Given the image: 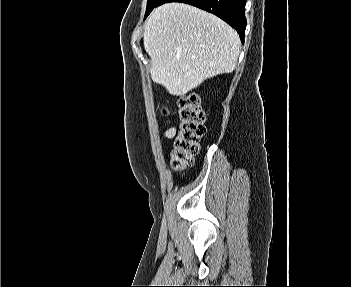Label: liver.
I'll return each instance as SVG.
<instances>
[{"mask_svg":"<svg viewBox=\"0 0 351 287\" xmlns=\"http://www.w3.org/2000/svg\"><path fill=\"white\" fill-rule=\"evenodd\" d=\"M150 74L175 96L204 80L232 72L240 54L238 33L211 13L183 3L155 8L144 26Z\"/></svg>","mask_w":351,"mask_h":287,"instance_id":"liver-1","label":"liver"}]
</instances>
